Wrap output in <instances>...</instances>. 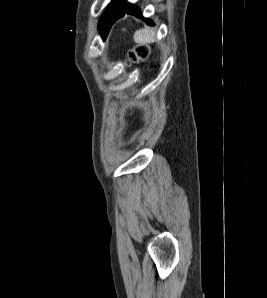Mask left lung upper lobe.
I'll list each match as a JSON object with an SVG mask.
<instances>
[{"label":"left lung upper lobe","mask_w":267,"mask_h":298,"mask_svg":"<svg viewBox=\"0 0 267 298\" xmlns=\"http://www.w3.org/2000/svg\"><path fill=\"white\" fill-rule=\"evenodd\" d=\"M121 0H114L112 3H111V5L112 4H117V3H119Z\"/></svg>","instance_id":"obj_1"}]
</instances>
